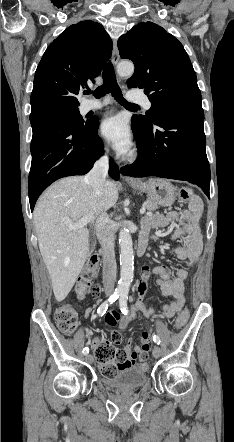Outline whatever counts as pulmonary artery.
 <instances>
[{
	"instance_id": "1",
	"label": "pulmonary artery",
	"mask_w": 234,
	"mask_h": 442,
	"mask_svg": "<svg viewBox=\"0 0 234 442\" xmlns=\"http://www.w3.org/2000/svg\"><path fill=\"white\" fill-rule=\"evenodd\" d=\"M128 100L131 102H136V103L142 104L146 110H149L151 108V102L144 95L131 94L128 96ZM103 107H104V104L99 101L87 100L83 103V111L84 112L100 110Z\"/></svg>"
}]
</instances>
